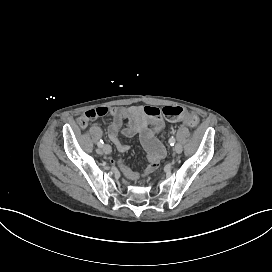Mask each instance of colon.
Instances as JSON below:
<instances>
[{
    "label": "colon",
    "instance_id": "1",
    "mask_svg": "<svg viewBox=\"0 0 272 272\" xmlns=\"http://www.w3.org/2000/svg\"><path fill=\"white\" fill-rule=\"evenodd\" d=\"M184 109L178 105L170 106H153L145 110V114L149 117L159 118L166 117L168 120H175L182 116ZM108 114V108L104 106H99L87 110L80 119L82 125L86 124L88 121L93 120L97 117H104ZM192 123V121H191Z\"/></svg>",
    "mask_w": 272,
    "mask_h": 272
}]
</instances>
